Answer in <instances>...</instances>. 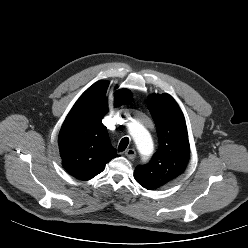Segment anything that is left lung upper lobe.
Segmentation results:
<instances>
[{"label": "left lung upper lobe", "instance_id": "1", "mask_svg": "<svg viewBox=\"0 0 248 248\" xmlns=\"http://www.w3.org/2000/svg\"><path fill=\"white\" fill-rule=\"evenodd\" d=\"M147 104L156 124L159 148L149 163L136 167L134 177L142 187L153 190L185 171L190 148L185 119L176 101L168 94H153Z\"/></svg>", "mask_w": 248, "mask_h": 248}]
</instances>
